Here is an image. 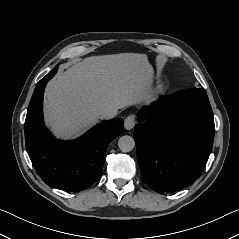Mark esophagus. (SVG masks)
<instances>
[{"label": "esophagus", "mask_w": 239, "mask_h": 239, "mask_svg": "<svg viewBox=\"0 0 239 239\" xmlns=\"http://www.w3.org/2000/svg\"><path fill=\"white\" fill-rule=\"evenodd\" d=\"M135 125V116L134 114H130L126 117L124 121V127L126 130H131Z\"/></svg>", "instance_id": "34e87169"}]
</instances>
